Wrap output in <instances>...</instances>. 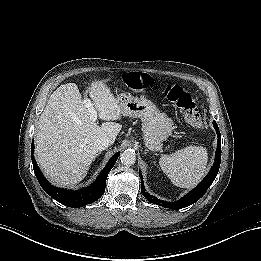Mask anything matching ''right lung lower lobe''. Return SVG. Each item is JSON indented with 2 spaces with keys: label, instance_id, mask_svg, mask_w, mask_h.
Masks as SVG:
<instances>
[{
  "label": "right lung lower lobe",
  "instance_id": "obj_1",
  "mask_svg": "<svg viewBox=\"0 0 261 261\" xmlns=\"http://www.w3.org/2000/svg\"><path fill=\"white\" fill-rule=\"evenodd\" d=\"M31 150H32L31 153H32L33 169L41 187L53 199L57 200L58 202L68 207H82L98 200L105 192L107 176L120 155V153L118 152L111 157V159L109 160L105 168L102 170V172L100 173L96 181L93 184H91L89 187L78 191H69V190L59 189L52 186L42 175L34 159L33 140H32Z\"/></svg>",
  "mask_w": 261,
  "mask_h": 261
}]
</instances>
